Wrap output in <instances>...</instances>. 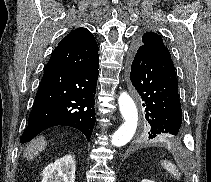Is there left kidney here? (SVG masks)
I'll use <instances>...</instances> for the list:
<instances>
[{
  "mask_svg": "<svg viewBox=\"0 0 211 182\" xmlns=\"http://www.w3.org/2000/svg\"><path fill=\"white\" fill-rule=\"evenodd\" d=\"M141 182H154V181H151L149 179H143Z\"/></svg>",
  "mask_w": 211,
  "mask_h": 182,
  "instance_id": "obj_1",
  "label": "left kidney"
}]
</instances>
